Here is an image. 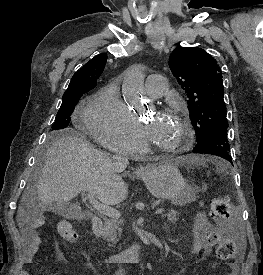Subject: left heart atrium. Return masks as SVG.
I'll return each instance as SVG.
<instances>
[{
	"instance_id": "left-heart-atrium-1",
	"label": "left heart atrium",
	"mask_w": 263,
	"mask_h": 275,
	"mask_svg": "<svg viewBox=\"0 0 263 275\" xmlns=\"http://www.w3.org/2000/svg\"><path fill=\"white\" fill-rule=\"evenodd\" d=\"M162 118H163L162 116H157L155 118V120L146 127L145 131H146V135H147L148 138H151L152 135L155 133V131L158 128Z\"/></svg>"
}]
</instances>
